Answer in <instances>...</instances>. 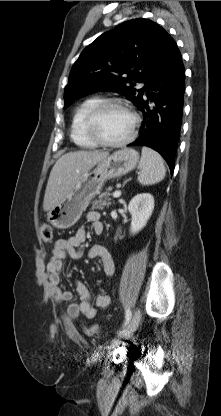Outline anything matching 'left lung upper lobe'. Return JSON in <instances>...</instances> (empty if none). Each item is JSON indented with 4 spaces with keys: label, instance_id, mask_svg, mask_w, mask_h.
<instances>
[{
    "label": "left lung upper lobe",
    "instance_id": "left-lung-upper-lobe-1",
    "mask_svg": "<svg viewBox=\"0 0 221 416\" xmlns=\"http://www.w3.org/2000/svg\"><path fill=\"white\" fill-rule=\"evenodd\" d=\"M167 32L148 19H133L103 33L74 63L64 92V108L84 95L100 90L118 92L139 107L147 80Z\"/></svg>",
    "mask_w": 221,
    "mask_h": 416
}]
</instances>
